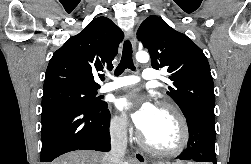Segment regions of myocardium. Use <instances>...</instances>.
Masks as SVG:
<instances>
[{
  "label": "myocardium",
  "mask_w": 251,
  "mask_h": 164,
  "mask_svg": "<svg viewBox=\"0 0 251 164\" xmlns=\"http://www.w3.org/2000/svg\"><path fill=\"white\" fill-rule=\"evenodd\" d=\"M159 109L168 112L175 119L179 128V139L175 146L171 148H158L152 146L144 134L140 137V143L148 152L161 156H175L180 154L187 146L190 137L189 126L187 120L181 110L174 104L169 102H161Z\"/></svg>",
  "instance_id": "obj_1"
}]
</instances>
